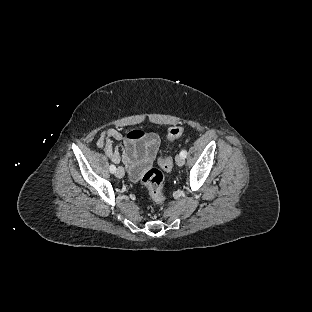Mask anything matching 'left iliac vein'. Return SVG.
<instances>
[{
    "label": "left iliac vein",
    "instance_id": "obj_1",
    "mask_svg": "<svg viewBox=\"0 0 312 312\" xmlns=\"http://www.w3.org/2000/svg\"><path fill=\"white\" fill-rule=\"evenodd\" d=\"M184 163H185L184 158H183L181 155H177V156H176V164H177L178 166H183Z\"/></svg>",
    "mask_w": 312,
    "mask_h": 312
}]
</instances>
